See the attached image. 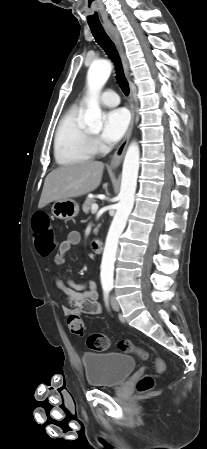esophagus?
<instances>
[{
    "mask_svg": "<svg viewBox=\"0 0 207 449\" xmlns=\"http://www.w3.org/2000/svg\"><path fill=\"white\" fill-rule=\"evenodd\" d=\"M105 29L110 34L112 39L114 40V42H115V44L117 46V49H118V52H119L122 64H123L124 71H125L126 75L128 77H130L129 76L128 60L126 58V55H125V52H124V48H123V45H122V42H121V38H120V35H119V32H118L117 28L113 24L109 23V24H105ZM130 112H131V121H130L128 130H127V132L125 134V137H124L123 141L118 146V148L116 149V151L114 152V154H113V156L111 158V161H110V166L111 167H117L122 162L124 154H125V150H126V147L128 145V142H129V139H130V136H131V133H132V129H133V126H134L135 108H134L133 91L132 90L130 91Z\"/></svg>",
    "mask_w": 207,
    "mask_h": 449,
    "instance_id": "obj_1",
    "label": "esophagus"
}]
</instances>
